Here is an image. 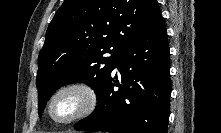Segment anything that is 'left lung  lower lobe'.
Returning <instances> with one entry per match:
<instances>
[{
    "mask_svg": "<svg viewBox=\"0 0 221 133\" xmlns=\"http://www.w3.org/2000/svg\"><path fill=\"white\" fill-rule=\"evenodd\" d=\"M169 55L167 31L160 17L120 51L113 70L118 68L122 84L111 73L97 94L96 109L76 123L74 129L167 133L171 95ZM115 86L120 88L114 91Z\"/></svg>",
    "mask_w": 221,
    "mask_h": 133,
    "instance_id": "1",
    "label": "left lung lower lobe"
}]
</instances>
